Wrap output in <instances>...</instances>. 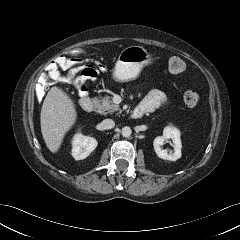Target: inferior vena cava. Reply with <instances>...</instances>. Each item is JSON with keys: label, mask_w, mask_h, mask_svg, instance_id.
<instances>
[{"label": "inferior vena cava", "mask_w": 240, "mask_h": 240, "mask_svg": "<svg viewBox=\"0 0 240 240\" xmlns=\"http://www.w3.org/2000/svg\"><path fill=\"white\" fill-rule=\"evenodd\" d=\"M101 126L104 130L112 129L115 126V122L112 119H105L101 122Z\"/></svg>", "instance_id": "inferior-vena-cava-1"}]
</instances>
